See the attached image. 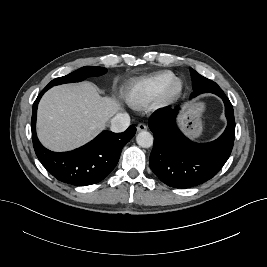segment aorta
Wrapping results in <instances>:
<instances>
[{
  "label": "aorta",
  "mask_w": 267,
  "mask_h": 267,
  "mask_svg": "<svg viewBox=\"0 0 267 267\" xmlns=\"http://www.w3.org/2000/svg\"><path fill=\"white\" fill-rule=\"evenodd\" d=\"M136 142L143 148H149L153 145V136L148 131H141L136 137Z\"/></svg>",
  "instance_id": "obj_1"
}]
</instances>
